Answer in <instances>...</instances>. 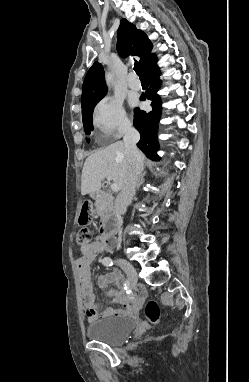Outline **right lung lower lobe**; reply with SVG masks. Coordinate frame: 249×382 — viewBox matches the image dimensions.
Masks as SVG:
<instances>
[{
    "instance_id": "obj_1",
    "label": "right lung lower lobe",
    "mask_w": 249,
    "mask_h": 382,
    "mask_svg": "<svg viewBox=\"0 0 249 382\" xmlns=\"http://www.w3.org/2000/svg\"><path fill=\"white\" fill-rule=\"evenodd\" d=\"M145 73L149 79L150 88L142 96V100H151L152 111L146 113L136 108L134 110V126L140 132L141 139L137 146L152 160H158L157 128L161 115V100L157 91L160 87V71L156 57L146 66Z\"/></svg>"
}]
</instances>
